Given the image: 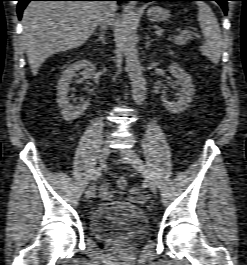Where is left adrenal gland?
Wrapping results in <instances>:
<instances>
[{
  "label": "left adrenal gland",
  "mask_w": 247,
  "mask_h": 265,
  "mask_svg": "<svg viewBox=\"0 0 247 265\" xmlns=\"http://www.w3.org/2000/svg\"><path fill=\"white\" fill-rule=\"evenodd\" d=\"M153 41H154V40H150L149 35L146 34V46H145V48L148 49V48L151 46V43H152Z\"/></svg>",
  "instance_id": "1"
}]
</instances>
